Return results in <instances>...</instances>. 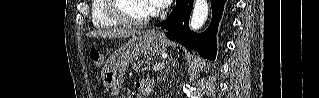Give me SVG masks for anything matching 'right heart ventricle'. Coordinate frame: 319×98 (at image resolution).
<instances>
[{"label":"right heart ventricle","mask_w":319,"mask_h":98,"mask_svg":"<svg viewBox=\"0 0 319 98\" xmlns=\"http://www.w3.org/2000/svg\"><path fill=\"white\" fill-rule=\"evenodd\" d=\"M91 20L96 28H107L117 25L107 13V0H93L91 5Z\"/></svg>","instance_id":"1"}]
</instances>
